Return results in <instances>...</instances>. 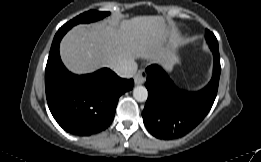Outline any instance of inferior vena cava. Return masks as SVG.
<instances>
[{
  "instance_id": "602c4592",
  "label": "inferior vena cava",
  "mask_w": 261,
  "mask_h": 162,
  "mask_svg": "<svg viewBox=\"0 0 261 162\" xmlns=\"http://www.w3.org/2000/svg\"><path fill=\"white\" fill-rule=\"evenodd\" d=\"M113 71L122 78H131L136 74L137 64L134 61L129 64H119L113 67Z\"/></svg>"
}]
</instances>
